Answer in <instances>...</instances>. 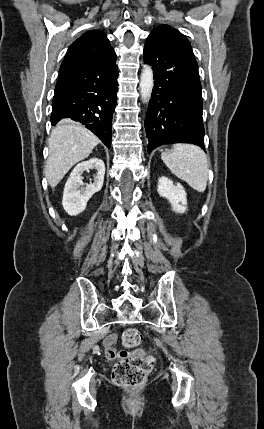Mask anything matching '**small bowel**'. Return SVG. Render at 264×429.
I'll list each match as a JSON object with an SVG mask.
<instances>
[{"mask_svg":"<svg viewBox=\"0 0 264 429\" xmlns=\"http://www.w3.org/2000/svg\"><path fill=\"white\" fill-rule=\"evenodd\" d=\"M117 340V336L115 334H110L106 337L104 341L105 352L108 358L116 359L121 357L124 352H118L115 348V343Z\"/></svg>","mask_w":264,"mask_h":429,"instance_id":"1","label":"small bowel"}]
</instances>
